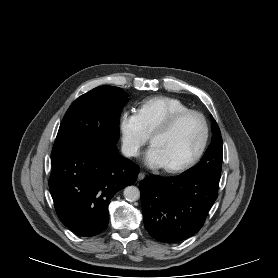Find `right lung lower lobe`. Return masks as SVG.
Returning <instances> with one entry per match:
<instances>
[{"instance_id": "1", "label": "right lung lower lobe", "mask_w": 278, "mask_h": 278, "mask_svg": "<svg viewBox=\"0 0 278 278\" xmlns=\"http://www.w3.org/2000/svg\"><path fill=\"white\" fill-rule=\"evenodd\" d=\"M49 189L61 222L81 236H94L108 226V205L139 168L118 154L114 142H94L51 155Z\"/></svg>"}]
</instances>
